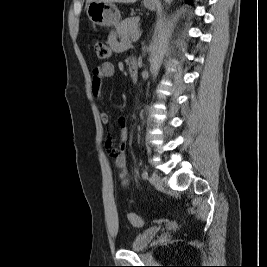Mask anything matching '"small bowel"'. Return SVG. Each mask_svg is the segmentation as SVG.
<instances>
[{
    "label": "small bowel",
    "instance_id": "small-bowel-1",
    "mask_svg": "<svg viewBox=\"0 0 267 267\" xmlns=\"http://www.w3.org/2000/svg\"><path fill=\"white\" fill-rule=\"evenodd\" d=\"M108 43L111 48L120 52L126 49L127 44L119 41L116 35L113 33L108 37ZM114 74V65L110 62H104L97 66L92 72L91 93L96 99H102V87L104 79L111 77ZM101 122L107 125L110 121L109 114L106 112L100 113ZM117 124L120 129L119 145L115 147L113 145V139L108 136L105 141L106 150L114 158L115 165L120 170V178L123 186H127L129 182V175L126 170V157L124 154V144L128 137V123L127 119L123 116L117 118Z\"/></svg>",
    "mask_w": 267,
    "mask_h": 267
}]
</instances>
